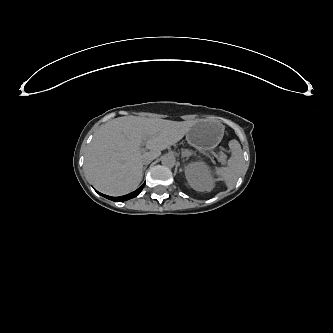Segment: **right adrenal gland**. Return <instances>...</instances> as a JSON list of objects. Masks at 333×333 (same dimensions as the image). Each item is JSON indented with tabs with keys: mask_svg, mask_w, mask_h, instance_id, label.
Masks as SVG:
<instances>
[{
	"mask_svg": "<svg viewBox=\"0 0 333 333\" xmlns=\"http://www.w3.org/2000/svg\"><path fill=\"white\" fill-rule=\"evenodd\" d=\"M146 168H147V166H144V168H143V171H145V170H146Z\"/></svg>",
	"mask_w": 333,
	"mask_h": 333,
	"instance_id": "2a0ac1e0",
	"label": "right adrenal gland"
}]
</instances>
